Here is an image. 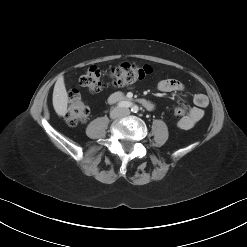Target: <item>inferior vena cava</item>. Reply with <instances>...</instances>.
<instances>
[{"mask_svg": "<svg viewBox=\"0 0 247 247\" xmlns=\"http://www.w3.org/2000/svg\"><path fill=\"white\" fill-rule=\"evenodd\" d=\"M129 113H130V112H129V109H125V110H124V115H129Z\"/></svg>", "mask_w": 247, "mask_h": 247, "instance_id": "inferior-vena-cava-1", "label": "inferior vena cava"}]
</instances>
